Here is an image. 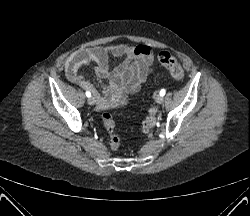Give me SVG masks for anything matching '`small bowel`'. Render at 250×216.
<instances>
[{
    "instance_id": "1",
    "label": "small bowel",
    "mask_w": 250,
    "mask_h": 216,
    "mask_svg": "<svg viewBox=\"0 0 250 216\" xmlns=\"http://www.w3.org/2000/svg\"><path fill=\"white\" fill-rule=\"evenodd\" d=\"M112 57L121 58L123 62L111 68L109 61ZM153 60L152 49L143 44L86 48L76 51L68 58L65 74L70 82L91 91L98 108L105 110L124 104L129 94L139 90L141 84L153 72ZM91 63L95 65L97 76L108 81L101 91L81 73V68Z\"/></svg>"
}]
</instances>
